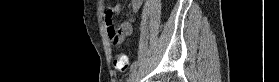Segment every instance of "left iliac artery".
I'll list each match as a JSON object with an SVG mask.
<instances>
[{
  "instance_id": "1",
  "label": "left iliac artery",
  "mask_w": 279,
  "mask_h": 82,
  "mask_svg": "<svg viewBox=\"0 0 279 82\" xmlns=\"http://www.w3.org/2000/svg\"><path fill=\"white\" fill-rule=\"evenodd\" d=\"M137 67H138V62L135 61V62L132 63V65H131V67H130V70L133 71V70H135Z\"/></svg>"
}]
</instances>
